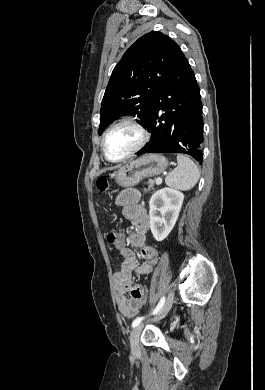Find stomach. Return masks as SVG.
Masks as SVG:
<instances>
[{
	"label": "stomach",
	"instance_id": "1",
	"mask_svg": "<svg viewBox=\"0 0 265 390\" xmlns=\"http://www.w3.org/2000/svg\"><path fill=\"white\" fill-rule=\"evenodd\" d=\"M168 166L167 159L161 154H147L133 160L112 174L116 183L121 187H130L140 180L163 173Z\"/></svg>",
	"mask_w": 265,
	"mask_h": 390
}]
</instances>
